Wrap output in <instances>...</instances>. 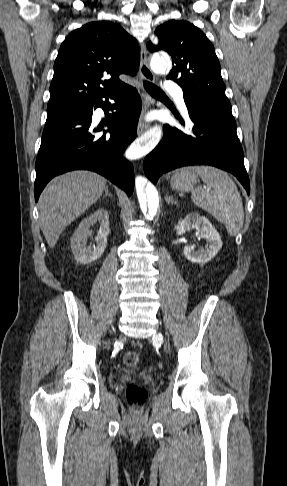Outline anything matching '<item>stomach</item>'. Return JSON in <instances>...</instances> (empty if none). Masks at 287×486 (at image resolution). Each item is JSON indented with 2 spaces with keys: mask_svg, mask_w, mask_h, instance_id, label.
I'll return each instance as SVG.
<instances>
[{
  "mask_svg": "<svg viewBox=\"0 0 287 486\" xmlns=\"http://www.w3.org/2000/svg\"><path fill=\"white\" fill-rule=\"evenodd\" d=\"M198 182V174L192 168L176 171L171 178V187L177 191H192Z\"/></svg>",
  "mask_w": 287,
  "mask_h": 486,
  "instance_id": "1",
  "label": "stomach"
}]
</instances>
